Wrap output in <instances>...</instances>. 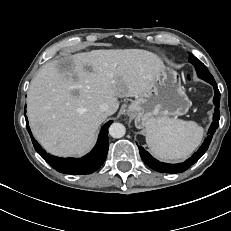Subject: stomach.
I'll list each match as a JSON object with an SVG mask.
<instances>
[{
  "instance_id": "0dacf381",
  "label": "stomach",
  "mask_w": 231,
  "mask_h": 231,
  "mask_svg": "<svg viewBox=\"0 0 231 231\" xmlns=\"http://www.w3.org/2000/svg\"><path fill=\"white\" fill-rule=\"evenodd\" d=\"M189 100L176 71L164 67L149 89L129 105L127 113L135 119L137 128L151 122H163L184 115Z\"/></svg>"
}]
</instances>
